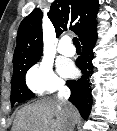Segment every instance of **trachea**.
Masks as SVG:
<instances>
[{
  "label": "trachea",
  "mask_w": 117,
  "mask_h": 131,
  "mask_svg": "<svg viewBox=\"0 0 117 131\" xmlns=\"http://www.w3.org/2000/svg\"><path fill=\"white\" fill-rule=\"evenodd\" d=\"M73 43H74V45L77 47V46H80V42H79V40H78V38L77 37H74L73 38Z\"/></svg>",
  "instance_id": "trachea-1"
}]
</instances>
